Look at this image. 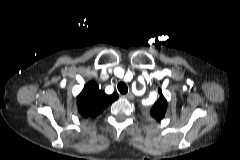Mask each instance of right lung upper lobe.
<instances>
[{"label": "right lung upper lobe", "mask_w": 240, "mask_h": 160, "mask_svg": "<svg viewBox=\"0 0 240 160\" xmlns=\"http://www.w3.org/2000/svg\"><path fill=\"white\" fill-rule=\"evenodd\" d=\"M117 99L116 93L107 95L99 89L95 82H89L77 98L78 111L83 117H95Z\"/></svg>", "instance_id": "cb5924a9"}]
</instances>
